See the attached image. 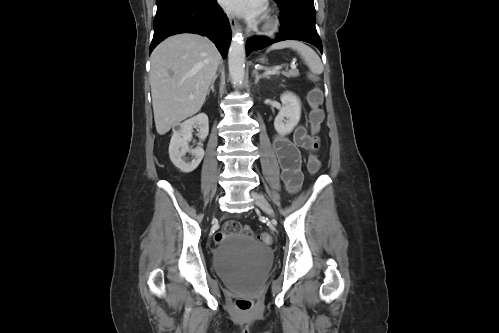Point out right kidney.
I'll list each match as a JSON object with an SVG mask.
<instances>
[{
    "instance_id": "right-kidney-1",
    "label": "right kidney",
    "mask_w": 499,
    "mask_h": 333,
    "mask_svg": "<svg viewBox=\"0 0 499 333\" xmlns=\"http://www.w3.org/2000/svg\"><path fill=\"white\" fill-rule=\"evenodd\" d=\"M199 128L200 140H205L209 133L208 117L205 113H200L183 123L173 131V136L169 145V157L172 163L180 171L189 173L194 171L204 157V150L198 146L195 149H189L187 141L192 137L193 127ZM189 152L194 156L191 162H186L183 157Z\"/></svg>"
}]
</instances>
